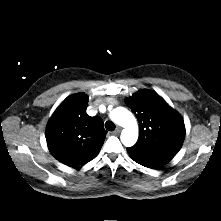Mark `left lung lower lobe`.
I'll return each mask as SVG.
<instances>
[{"label":"left lung lower lobe","mask_w":221,"mask_h":221,"mask_svg":"<svg viewBox=\"0 0 221 221\" xmlns=\"http://www.w3.org/2000/svg\"><path fill=\"white\" fill-rule=\"evenodd\" d=\"M138 164L151 168V169H158L168 163L169 161L163 159H133Z\"/></svg>","instance_id":"1"}]
</instances>
